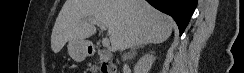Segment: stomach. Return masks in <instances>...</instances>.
Masks as SVG:
<instances>
[{"instance_id": "obj_1", "label": "stomach", "mask_w": 244, "mask_h": 73, "mask_svg": "<svg viewBox=\"0 0 244 73\" xmlns=\"http://www.w3.org/2000/svg\"><path fill=\"white\" fill-rule=\"evenodd\" d=\"M68 53L75 61L81 62L88 55V43L86 41L71 40L67 45Z\"/></svg>"}]
</instances>
